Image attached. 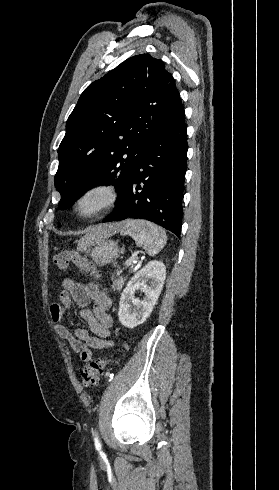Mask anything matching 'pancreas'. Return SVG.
I'll use <instances>...</instances> for the list:
<instances>
[{"label": "pancreas", "mask_w": 279, "mask_h": 490, "mask_svg": "<svg viewBox=\"0 0 279 490\" xmlns=\"http://www.w3.org/2000/svg\"><path fill=\"white\" fill-rule=\"evenodd\" d=\"M124 284V278H119V280H115V282H113V286L112 288H121V286H123Z\"/></svg>", "instance_id": "pancreas-1"}]
</instances>
